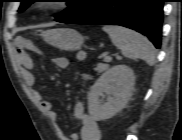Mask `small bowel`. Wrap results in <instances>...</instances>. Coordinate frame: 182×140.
Segmentation results:
<instances>
[{
    "label": "small bowel",
    "mask_w": 182,
    "mask_h": 140,
    "mask_svg": "<svg viewBox=\"0 0 182 140\" xmlns=\"http://www.w3.org/2000/svg\"><path fill=\"white\" fill-rule=\"evenodd\" d=\"M18 49L16 51V59L22 69V75L26 84L33 87L35 84V77L32 73L34 68V61L32 57L25 51V47L31 48L32 46L24 40L17 42ZM54 65L59 68H66L69 61L64 56L56 57L52 60ZM34 98L40 104L41 110L47 115L51 121H56L57 113L53 109L52 102L43 99L42 93L39 90H34ZM74 117L79 127V135L82 140H100V129L98 123L86 112L83 102L78 101L74 105ZM78 134L74 133L68 140H77Z\"/></svg>",
    "instance_id": "obj_1"
}]
</instances>
